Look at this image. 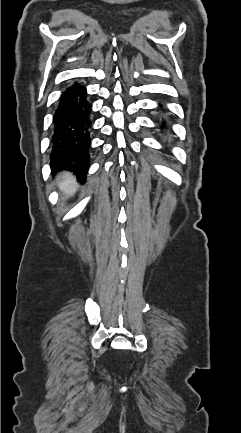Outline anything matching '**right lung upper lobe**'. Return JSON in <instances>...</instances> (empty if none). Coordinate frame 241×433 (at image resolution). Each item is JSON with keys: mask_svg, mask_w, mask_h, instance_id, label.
<instances>
[{"mask_svg": "<svg viewBox=\"0 0 241 433\" xmlns=\"http://www.w3.org/2000/svg\"><path fill=\"white\" fill-rule=\"evenodd\" d=\"M56 149H57V147L53 146L52 153H53V152H56L55 154H57Z\"/></svg>", "mask_w": 241, "mask_h": 433, "instance_id": "1", "label": "right lung upper lobe"}]
</instances>
